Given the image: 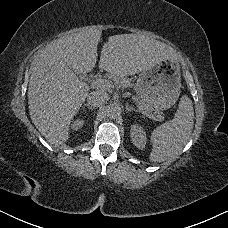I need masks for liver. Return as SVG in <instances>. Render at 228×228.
<instances>
[{
    "instance_id": "6515ba94",
    "label": "liver",
    "mask_w": 228,
    "mask_h": 228,
    "mask_svg": "<svg viewBox=\"0 0 228 228\" xmlns=\"http://www.w3.org/2000/svg\"><path fill=\"white\" fill-rule=\"evenodd\" d=\"M101 35V30L92 28L63 37L48 45L32 62L27 93L29 117L52 147L64 146L70 140L73 121L91 90L75 73L87 75L98 64L111 76L124 78L162 62H178L175 49L140 34L108 37L99 61L97 45Z\"/></svg>"
}]
</instances>
